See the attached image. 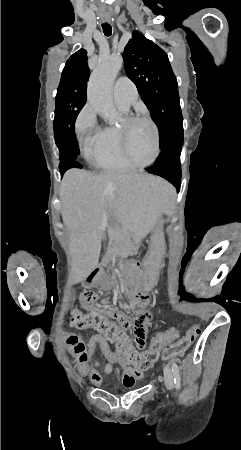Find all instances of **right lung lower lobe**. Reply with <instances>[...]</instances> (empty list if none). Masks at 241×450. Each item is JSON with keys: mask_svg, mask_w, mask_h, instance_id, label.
Listing matches in <instances>:
<instances>
[{"mask_svg": "<svg viewBox=\"0 0 241 450\" xmlns=\"http://www.w3.org/2000/svg\"><path fill=\"white\" fill-rule=\"evenodd\" d=\"M76 120V119H75ZM75 120L71 122L68 130H67V138H68V143L66 144L67 146V151L66 154L69 157H74L77 158L78 154H79V149L75 140V130H74V124H75ZM69 163L73 166V167H77V168H81L82 166L77 162V160H70Z\"/></svg>", "mask_w": 241, "mask_h": 450, "instance_id": "98d812e1", "label": "right lung lower lobe"}]
</instances>
